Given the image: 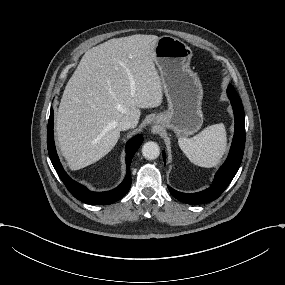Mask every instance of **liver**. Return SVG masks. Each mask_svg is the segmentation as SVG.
<instances>
[{
	"mask_svg": "<svg viewBox=\"0 0 285 285\" xmlns=\"http://www.w3.org/2000/svg\"><path fill=\"white\" fill-rule=\"evenodd\" d=\"M160 38L133 35L88 50L61 99L56 130L73 170L96 163L120 138L118 123L136 125L140 109L163 103V81L155 66Z\"/></svg>",
	"mask_w": 285,
	"mask_h": 285,
	"instance_id": "obj_1",
	"label": "liver"
}]
</instances>
